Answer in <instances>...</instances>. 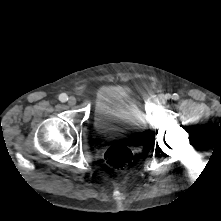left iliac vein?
<instances>
[{
    "label": "left iliac vein",
    "instance_id": "obj_1",
    "mask_svg": "<svg viewBox=\"0 0 221 221\" xmlns=\"http://www.w3.org/2000/svg\"><path fill=\"white\" fill-rule=\"evenodd\" d=\"M166 99H167V96L166 95H163V96H161L160 98H159V101H160V103H165L166 102Z\"/></svg>",
    "mask_w": 221,
    "mask_h": 221
}]
</instances>
